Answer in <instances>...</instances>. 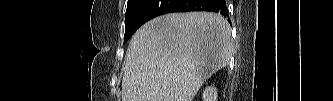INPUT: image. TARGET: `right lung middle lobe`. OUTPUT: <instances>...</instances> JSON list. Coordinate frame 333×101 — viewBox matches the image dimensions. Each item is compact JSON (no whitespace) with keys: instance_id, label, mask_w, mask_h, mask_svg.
I'll use <instances>...</instances> for the list:
<instances>
[{"instance_id":"right-lung-middle-lobe-1","label":"right lung middle lobe","mask_w":333,"mask_h":101,"mask_svg":"<svg viewBox=\"0 0 333 101\" xmlns=\"http://www.w3.org/2000/svg\"><path fill=\"white\" fill-rule=\"evenodd\" d=\"M144 0H128L127 10L125 15V37L124 42H126L132 34L135 32L133 28V21L136 16L137 11Z\"/></svg>"}]
</instances>
